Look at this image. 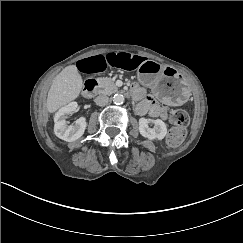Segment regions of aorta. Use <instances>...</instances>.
<instances>
[{
	"mask_svg": "<svg viewBox=\"0 0 243 243\" xmlns=\"http://www.w3.org/2000/svg\"><path fill=\"white\" fill-rule=\"evenodd\" d=\"M112 101L115 105H122L125 101V97L124 95L117 93L112 97Z\"/></svg>",
	"mask_w": 243,
	"mask_h": 243,
	"instance_id": "1",
	"label": "aorta"
}]
</instances>
